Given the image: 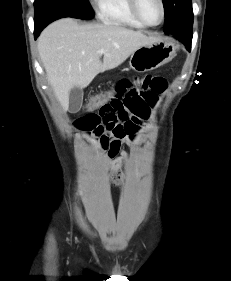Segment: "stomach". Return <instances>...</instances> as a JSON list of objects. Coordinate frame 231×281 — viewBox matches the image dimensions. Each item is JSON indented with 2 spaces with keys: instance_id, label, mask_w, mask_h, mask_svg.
<instances>
[{
  "instance_id": "obj_1",
  "label": "stomach",
  "mask_w": 231,
  "mask_h": 281,
  "mask_svg": "<svg viewBox=\"0 0 231 281\" xmlns=\"http://www.w3.org/2000/svg\"><path fill=\"white\" fill-rule=\"evenodd\" d=\"M176 55V46L168 39L145 45L137 49L130 56V67L139 73L157 69L170 62Z\"/></svg>"
}]
</instances>
